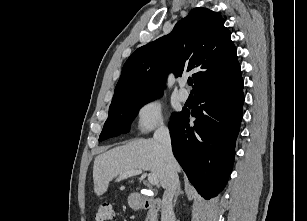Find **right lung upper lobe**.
<instances>
[{
    "label": "right lung upper lobe",
    "instance_id": "obj_1",
    "mask_svg": "<svg viewBox=\"0 0 307 221\" xmlns=\"http://www.w3.org/2000/svg\"><path fill=\"white\" fill-rule=\"evenodd\" d=\"M225 20L207 8H195L172 32L138 48L125 62L112 103L143 93H162L167 74L196 71L194 94L241 80L236 48Z\"/></svg>",
    "mask_w": 307,
    "mask_h": 221
}]
</instances>
